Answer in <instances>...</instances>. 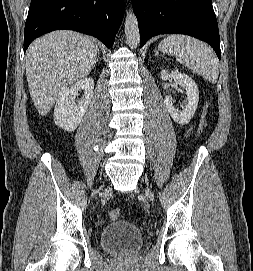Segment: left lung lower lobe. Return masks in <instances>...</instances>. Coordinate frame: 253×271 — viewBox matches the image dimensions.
Masks as SVG:
<instances>
[{"label":"left lung lower lobe","instance_id":"1","mask_svg":"<svg viewBox=\"0 0 253 271\" xmlns=\"http://www.w3.org/2000/svg\"><path fill=\"white\" fill-rule=\"evenodd\" d=\"M140 46L159 34H185L207 42L220 59V37L211 0H132Z\"/></svg>","mask_w":253,"mask_h":271}]
</instances>
